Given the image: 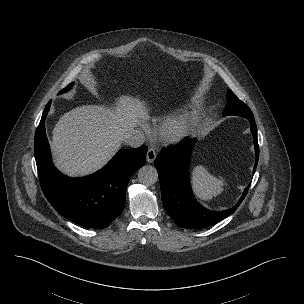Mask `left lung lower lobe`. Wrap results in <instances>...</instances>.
<instances>
[{"label": "left lung lower lobe", "instance_id": "obj_1", "mask_svg": "<svg viewBox=\"0 0 304 304\" xmlns=\"http://www.w3.org/2000/svg\"><path fill=\"white\" fill-rule=\"evenodd\" d=\"M248 120L256 152L255 173L259 158L257 127L254 118ZM193 144L194 139H188L176 147L162 150L155 159V167L160 180L162 203L168 215L181 228L199 229L214 225L232 214L245 198L250 185L232 209L210 211L203 208L194 198L189 182L188 169Z\"/></svg>", "mask_w": 304, "mask_h": 304}]
</instances>
